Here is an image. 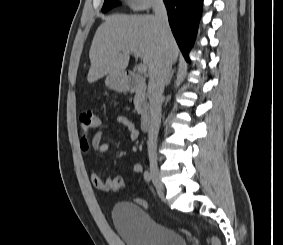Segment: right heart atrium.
Instances as JSON below:
<instances>
[{"label":"right heart atrium","mask_w":283,"mask_h":245,"mask_svg":"<svg viewBox=\"0 0 283 245\" xmlns=\"http://www.w3.org/2000/svg\"><path fill=\"white\" fill-rule=\"evenodd\" d=\"M126 2L134 10H143L159 4L161 0H126Z\"/></svg>","instance_id":"right-heart-atrium-1"}]
</instances>
